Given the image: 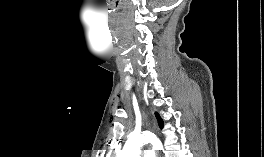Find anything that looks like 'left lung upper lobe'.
Listing matches in <instances>:
<instances>
[{
	"label": "left lung upper lobe",
	"instance_id": "left-lung-upper-lobe-1",
	"mask_svg": "<svg viewBox=\"0 0 264 157\" xmlns=\"http://www.w3.org/2000/svg\"><path fill=\"white\" fill-rule=\"evenodd\" d=\"M156 117H157V120H158V123H159L160 128H162L163 127V121H162V119L160 118V116L157 113H156Z\"/></svg>",
	"mask_w": 264,
	"mask_h": 157
}]
</instances>
